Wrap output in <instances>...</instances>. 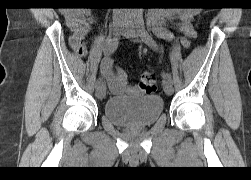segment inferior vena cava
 <instances>
[{
	"mask_svg": "<svg viewBox=\"0 0 251 180\" xmlns=\"http://www.w3.org/2000/svg\"><path fill=\"white\" fill-rule=\"evenodd\" d=\"M114 18L117 19L118 15L120 14L122 17L126 16L125 9L114 8L113 10Z\"/></svg>",
	"mask_w": 251,
	"mask_h": 180,
	"instance_id": "inferior-vena-cava-1",
	"label": "inferior vena cava"
}]
</instances>
